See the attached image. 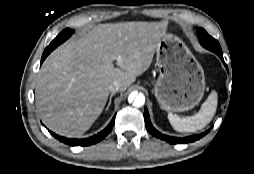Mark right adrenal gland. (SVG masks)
I'll return each mask as SVG.
<instances>
[{"label":"right adrenal gland","instance_id":"obj_1","mask_svg":"<svg viewBox=\"0 0 254 174\" xmlns=\"http://www.w3.org/2000/svg\"><path fill=\"white\" fill-rule=\"evenodd\" d=\"M114 96V93H111L110 97H109V102L108 105L106 107V111L109 109L110 105H111V101H112V97Z\"/></svg>","mask_w":254,"mask_h":174}]
</instances>
